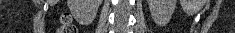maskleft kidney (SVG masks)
Returning a JSON list of instances; mask_svg holds the SVG:
<instances>
[{
  "label": "left kidney",
  "mask_w": 235,
  "mask_h": 33,
  "mask_svg": "<svg viewBox=\"0 0 235 33\" xmlns=\"http://www.w3.org/2000/svg\"><path fill=\"white\" fill-rule=\"evenodd\" d=\"M153 19L166 24L170 21L176 7V0H147Z\"/></svg>",
  "instance_id": "1"
}]
</instances>
